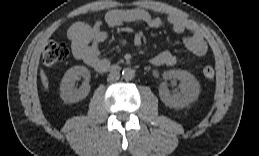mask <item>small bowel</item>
<instances>
[{
	"instance_id": "small-bowel-1",
	"label": "small bowel",
	"mask_w": 259,
	"mask_h": 156,
	"mask_svg": "<svg viewBox=\"0 0 259 156\" xmlns=\"http://www.w3.org/2000/svg\"><path fill=\"white\" fill-rule=\"evenodd\" d=\"M103 21L111 28L133 22H142L153 29L169 27L175 33H187L184 44L194 57L204 56L208 51L203 34L192 22L176 15L163 20L154 17L144 9H112L106 12ZM102 23V21L93 25L75 23L67 33L74 56L98 71H105L109 67L108 60L100 55V45L108 38L107 32L101 30ZM180 61L181 59L170 51L160 52L150 59L155 66H173Z\"/></svg>"
}]
</instances>
